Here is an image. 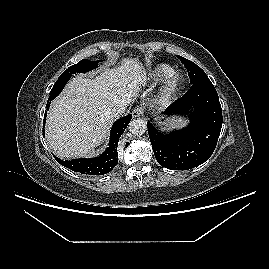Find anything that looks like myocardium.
Wrapping results in <instances>:
<instances>
[{"label": "myocardium", "mask_w": 269, "mask_h": 269, "mask_svg": "<svg viewBox=\"0 0 269 269\" xmlns=\"http://www.w3.org/2000/svg\"><path fill=\"white\" fill-rule=\"evenodd\" d=\"M184 83V77L180 73H174L164 82V86L160 90L158 101L162 105L171 103Z\"/></svg>", "instance_id": "f54148a6"}]
</instances>
